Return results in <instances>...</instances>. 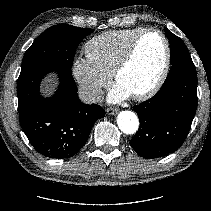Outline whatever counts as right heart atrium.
<instances>
[{"label":"right heart atrium","mask_w":211,"mask_h":211,"mask_svg":"<svg viewBox=\"0 0 211 211\" xmlns=\"http://www.w3.org/2000/svg\"><path fill=\"white\" fill-rule=\"evenodd\" d=\"M71 70L80 96L89 103L100 99L111 80V75L102 71L88 55L75 57Z\"/></svg>","instance_id":"1"}]
</instances>
